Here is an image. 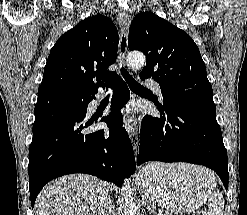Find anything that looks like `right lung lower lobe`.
I'll list each match as a JSON object with an SVG mask.
<instances>
[{
    "label": "right lung lower lobe",
    "mask_w": 247,
    "mask_h": 215,
    "mask_svg": "<svg viewBox=\"0 0 247 215\" xmlns=\"http://www.w3.org/2000/svg\"><path fill=\"white\" fill-rule=\"evenodd\" d=\"M111 100V113L101 121L107 129L94 130L97 119H88L94 92L73 97L49 87H39L35 105L33 139L29 149V190L32 208L43 186L70 173H87L121 186L136 164L120 109L130 91L120 78Z\"/></svg>",
    "instance_id": "98d812e1"
}]
</instances>
